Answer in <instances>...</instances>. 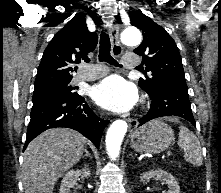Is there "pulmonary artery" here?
I'll use <instances>...</instances> for the list:
<instances>
[{"label":"pulmonary artery","instance_id":"pulmonary-artery-1","mask_svg":"<svg viewBox=\"0 0 221 193\" xmlns=\"http://www.w3.org/2000/svg\"><path fill=\"white\" fill-rule=\"evenodd\" d=\"M122 62L126 67H133L140 63V58L138 57V55H125L122 59ZM93 67L96 69L85 70L74 77L72 81L73 84H78L86 81H94L105 76L109 72L107 67L102 65H95Z\"/></svg>","mask_w":221,"mask_h":193}]
</instances>
